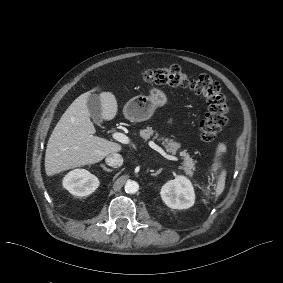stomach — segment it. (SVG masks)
Listing matches in <instances>:
<instances>
[{"mask_svg":"<svg viewBox=\"0 0 283 283\" xmlns=\"http://www.w3.org/2000/svg\"><path fill=\"white\" fill-rule=\"evenodd\" d=\"M167 102L166 95L158 88H152L149 96L138 95L131 98L124 106L123 114L132 122L148 120L158 106Z\"/></svg>","mask_w":283,"mask_h":283,"instance_id":"obj_1","label":"stomach"}]
</instances>
